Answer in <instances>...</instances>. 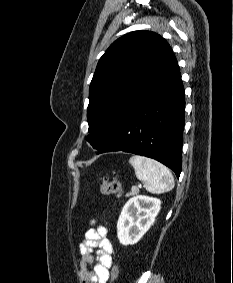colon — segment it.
I'll return each instance as SVG.
<instances>
[{
	"instance_id": "colon-1",
	"label": "colon",
	"mask_w": 233,
	"mask_h": 283,
	"mask_svg": "<svg viewBox=\"0 0 233 283\" xmlns=\"http://www.w3.org/2000/svg\"><path fill=\"white\" fill-rule=\"evenodd\" d=\"M101 193L104 195H116L121 197L123 194V186L119 180H103L100 185ZM119 275V269L117 265H113L111 268V279L116 281Z\"/></svg>"
}]
</instances>
